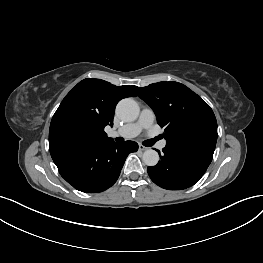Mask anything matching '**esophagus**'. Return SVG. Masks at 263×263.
<instances>
[{"label":"esophagus","mask_w":263,"mask_h":263,"mask_svg":"<svg viewBox=\"0 0 263 263\" xmlns=\"http://www.w3.org/2000/svg\"><path fill=\"white\" fill-rule=\"evenodd\" d=\"M139 150L140 151H145V150H147L148 149V147H146V146H144V145H142V144H139Z\"/></svg>","instance_id":"34e87169"}]
</instances>
